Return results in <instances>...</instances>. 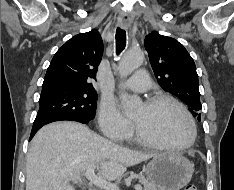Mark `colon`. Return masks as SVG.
<instances>
[{"instance_id": "colon-1", "label": "colon", "mask_w": 234, "mask_h": 190, "mask_svg": "<svg viewBox=\"0 0 234 190\" xmlns=\"http://www.w3.org/2000/svg\"><path fill=\"white\" fill-rule=\"evenodd\" d=\"M184 190H196V188L193 185H188L184 188Z\"/></svg>"}]
</instances>
